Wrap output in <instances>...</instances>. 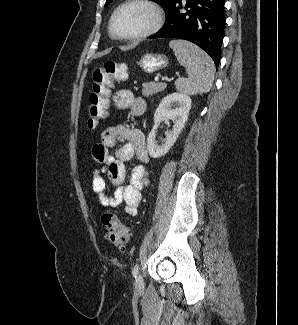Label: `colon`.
<instances>
[{
  "label": "colon",
  "mask_w": 298,
  "mask_h": 325,
  "mask_svg": "<svg viewBox=\"0 0 298 325\" xmlns=\"http://www.w3.org/2000/svg\"><path fill=\"white\" fill-rule=\"evenodd\" d=\"M126 78L127 66L123 63L108 61L93 70V88L87 112V124L90 129L97 128L107 115L108 96L113 82L123 81ZM101 221L105 228V238L109 243L124 249L130 237L127 226L111 211L104 212Z\"/></svg>",
  "instance_id": "1"
}]
</instances>
